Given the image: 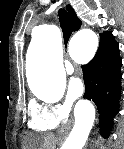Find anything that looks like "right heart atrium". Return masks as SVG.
<instances>
[{
    "label": "right heart atrium",
    "mask_w": 124,
    "mask_h": 149,
    "mask_svg": "<svg viewBox=\"0 0 124 149\" xmlns=\"http://www.w3.org/2000/svg\"><path fill=\"white\" fill-rule=\"evenodd\" d=\"M69 112L68 102L54 104L33 102L30 106V125L37 130H52L66 119Z\"/></svg>",
    "instance_id": "1"
}]
</instances>
